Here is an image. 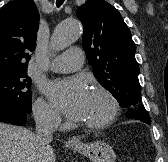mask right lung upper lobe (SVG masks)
I'll list each match as a JSON object with an SVG mask.
<instances>
[{"mask_svg":"<svg viewBox=\"0 0 168 162\" xmlns=\"http://www.w3.org/2000/svg\"><path fill=\"white\" fill-rule=\"evenodd\" d=\"M38 23L32 0H13L0 9V76L27 71Z\"/></svg>","mask_w":168,"mask_h":162,"instance_id":"cb5924a9","label":"right lung upper lobe"}]
</instances>
